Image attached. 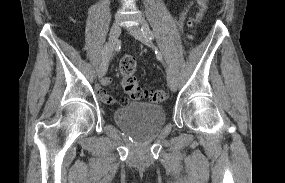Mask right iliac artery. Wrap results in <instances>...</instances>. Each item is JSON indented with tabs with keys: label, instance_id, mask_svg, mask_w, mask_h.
<instances>
[{
	"label": "right iliac artery",
	"instance_id": "82829eb1",
	"mask_svg": "<svg viewBox=\"0 0 285 183\" xmlns=\"http://www.w3.org/2000/svg\"><path fill=\"white\" fill-rule=\"evenodd\" d=\"M108 51H109V44H106L104 49H103V52H102V59L104 60V58L107 56L108 54Z\"/></svg>",
	"mask_w": 285,
	"mask_h": 183
}]
</instances>
